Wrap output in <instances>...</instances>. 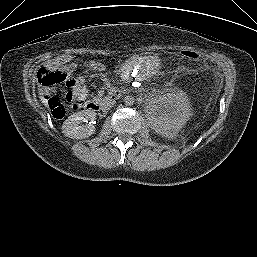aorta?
Wrapping results in <instances>:
<instances>
[{
  "instance_id": "obj_1",
  "label": "aorta",
  "mask_w": 257,
  "mask_h": 257,
  "mask_svg": "<svg viewBox=\"0 0 257 257\" xmlns=\"http://www.w3.org/2000/svg\"><path fill=\"white\" fill-rule=\"evenodd\" d=\"M124 102H125V105L131 106V105L134 104L135 99H134L133 96H126V97L124 98Z\"/></svg>"
}]
</instances>
